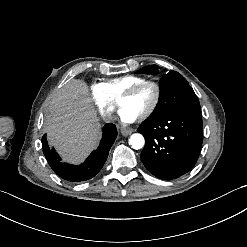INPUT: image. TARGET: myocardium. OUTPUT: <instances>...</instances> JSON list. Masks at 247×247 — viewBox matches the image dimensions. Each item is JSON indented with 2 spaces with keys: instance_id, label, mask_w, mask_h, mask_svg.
<instances>
[{
  "instance_id": "1",
  "label": "myocardium",
  "mask_w": 247,
  "mask_h": 247,
  "mask_svg": "<svg viewBox=\"0 0 247 247\" xmlns=\"http://www.w3.org/2000/svg\"><path fill=\"white\" fill-rule=\"evenodd\" d=\"M146 87H149L153 90V97H152V101H151V105H150L149 110L141 116V118L144 120L151 118L154 115L157 107L159 106V103L161 100V87L156 82L143 81L140 84H138L137 86H135L133 89H131L129 92L126 93V94H129L132 96H137L138 93Z\"/></svg>"
}]
</instances>
